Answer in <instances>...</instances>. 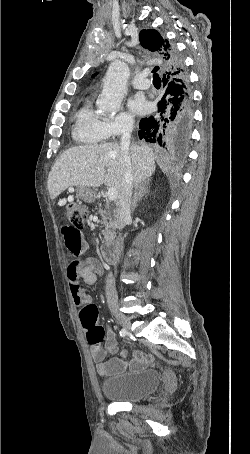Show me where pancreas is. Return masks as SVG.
<instances>
[{"instance_id":"obj_1","label":"pancreas","mask_w":250,"mask_h":454,"mask_svg":"<svg viewBox=\"0 0 250 454\" xmlns=\"http://www.w3.org/2000/svg\"><path fill=\"white\" fill-rule=\"evenodd\" d=\"M98 212L100 213L101 218H102L101 223L105 227L104 230L102 231L104 240L106 242H110L114 238L116 222H115V216L112 214V212L110 210L109 202H106L104 208H101V204H99Z\"/></svg>"}]
</instances>
